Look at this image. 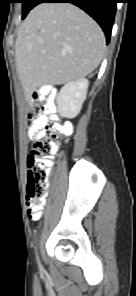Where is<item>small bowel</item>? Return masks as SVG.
<instances>
[{
	"instance_id": "c3829d8e",
	"label": "small bowel",
	"mask_w": 136,
	"mask_h": 296,
	"mask_svg": "<svg viewBox=\"0 0 136 296\" xmlns=\"http://www.w3.org/2000/svg\"><path fill=\"white\" fill-rule=\"evenodd\" d=\"M42 124H43V120L36 121L31 127L30 134L31 135L42 134ZM41 214H42V209L40 211L39 217L41 216ZM38 218H34V219H38Z\"/></svg>"
}]
</instances>
